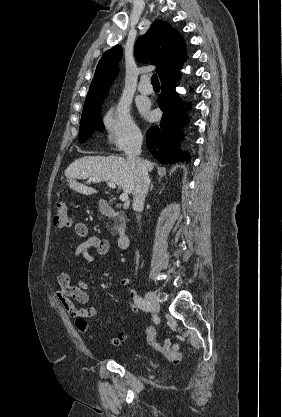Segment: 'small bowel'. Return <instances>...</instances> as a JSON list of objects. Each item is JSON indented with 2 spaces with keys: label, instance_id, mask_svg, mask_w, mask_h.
I'll list each match as a JSON object with an SVG mask.
<instances>
[{
  "label": "small bowel",
  "instance_id": "c3829d8e",
  "mask_svg": "<svg viewBox=\"0 0 282 417\" xmlns=\"http://www.w3.org/2000/svg\"><path fill=\"white\" fill-rule=\"evenodd\" d=\"M74 232L78 237L84 239L75 249L74 256L76 258L82 257L86 261L93 262L109 253V241L98 236H90L88 226L85 223L76 222ZM91 250L95 252L91 253ZM57 286L56 298L68 315L75 319V327L80 333H88V318L111 319L110 316L100 313L95 307L85 306L88 302V285L85 281H79L77 285L73 286L70 283L69 274L61 272L57 277ZM121 286L128 291L131 310L134 314H137L139 312L135 305L137 293L132 288L130 279L123 278ZM128 336V332L122 330L114 337H107L106 341L111 346H119L128 339Z\"/></svg>",
  "mask_w": 282,
  "mask_h": 417
}]
</instances>
